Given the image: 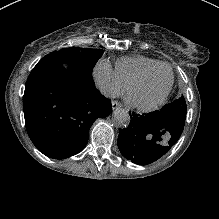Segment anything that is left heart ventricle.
Masks as SVG:
<instances>
[{"mask_svg":"<svg viewBox=\"0 0 219 219\" xmlns=\"http://www.w3.org/2000/svg\"><path fill=\"white\" fill-rule=\"evenodd\" d=\"M170 81V70L167 67H161L152 76L135 86L131 97L140 104L156 102L168 89Z\"/></svg>","mask_w":219,"mask_h":219,"instance_id":"b2bd125f","label":"left heart ventricle"}]
</instances>
